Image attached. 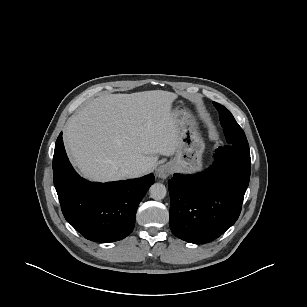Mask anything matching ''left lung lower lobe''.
<instances>
[{"label":"left lung lower lobe","instance_id":"left-lung-lower-lobe-1","mask_svg":"<svg viewBox=\"0 0 307 307\" xmlns=\"http://www.w3.org/2000/svg\"><path fill=\"white\" fill-rule=\"evenodd\" d=\"M250 173V151L226 145L216 150L208 170L174 174L168 182L172 233L190 243L218 238L239 217Z\"/></svg>","mask_w":307,"mask_h":307}]
</instances>
